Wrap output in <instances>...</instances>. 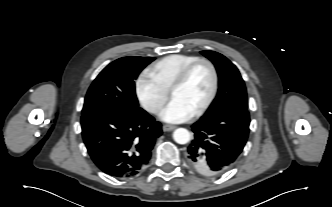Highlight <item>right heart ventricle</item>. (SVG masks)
I'll return each instance as SVG.
<instances>
[{
    "label": "right heart ventricle",
    "mask_w": 332,
    "mask_h": 207,
    "mask_svg": "<svg viewBox=\"0 0 332 207\" xmlns=\"http://www.w3.org/2000/svg\"><path fill=\"white\" fill-rule=\"evenodd\" d=\"M197 58V56L189 54H171L165 56L149 68L148 75L164 90L169 91L181 70Z\"/></svg>",
    "instance_id": "e07e8e85"
}]
</instances>
